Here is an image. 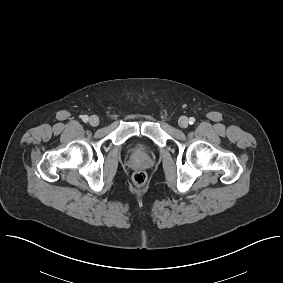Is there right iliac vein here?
Instances as JSON below:
<instances>
[{
    "label": "right iliac vein",
    "mask_w": 283,
    "mask_h": 283,
    "mask_svg": "<svg viewBox=\"0 0 283 283\" xmlns=\"http://www.w3.org/2000/svg\"><path fill=\"white\" fill-rule=\"evenodd\" d=\"M89 123L91 126L95 127V126H98L99 124V118L95 115L91 116L90 119H89Z\"/></svg>",
    "instance_id": "right-iliac-vein-1"
}]
</instances>
